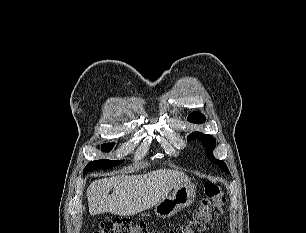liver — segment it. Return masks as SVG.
<instances>
[{"instance_id":"obj_1","label":"liver","mask_w":306,"mask_h":233,"mask_svg":"<svg viewBox=\"0 0 306 233\" xmlns=\"http://www.w3.org/2000/svg\"><path fill=\"white\" fill-rule=\"evenodd\" d=\"M183 172L159 169L143 175H122L102 178L87 189L89 213L105 212L119 216L135 215L163 200L182 182H189ZM113 188V193L109 195Z\"/></svg>"}]
</instances>
